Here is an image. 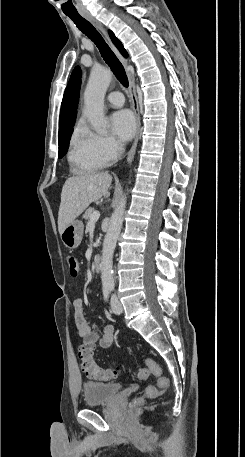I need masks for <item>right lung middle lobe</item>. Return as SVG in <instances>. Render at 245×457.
Instances as JSON below:
<instances>
[{
  "instance_id": "obj_1",
  "label": "right lung middle lobe",
  "mask_w": 245,
  "mask_h": 457,
  "mask_svg": "<svg viewBox=\"0 0 245 457\" xmlns=\"http://www.w3.org/2000/svg\"><path fill=\"white\" fill-rule=\"evenodd\" d=\"M73 126L74 123L59 128V158H62L63 155L67 152L69 146V139L73 132Z\"/></svg>"
}]
</instances>
